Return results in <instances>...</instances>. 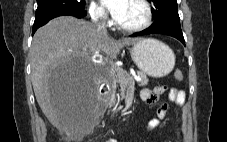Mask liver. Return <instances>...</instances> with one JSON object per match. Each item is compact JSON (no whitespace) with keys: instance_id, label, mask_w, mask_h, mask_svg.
Listing matches in <instances>:
<instances>
[{"instance_id":"6515ba94","label":"liver","mask_w":227,"mask_h":142,"mask_svg":"<svg viewBox=\"0 0 227 142\" xmlns=\"http://www.w3.org/2000/svg\"><path fill=\"white\" fill-rule=\"evenodd\" d=\"M141 41L140 38L114 40L97 30L92 23L72 16H61L49 21L34 34L29 56L32 85L36 100L50 123L69 135L74 133L82 112L84 100L98 92L106 80V63L117 58L121 48ZM105 57L100 63L95 57ZM61 61H90L85 88H54L50 78Z\"/></svg>"}]
</instances>
